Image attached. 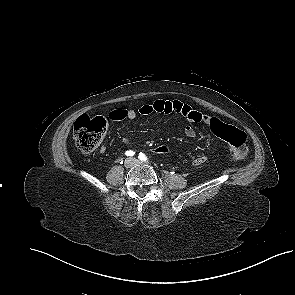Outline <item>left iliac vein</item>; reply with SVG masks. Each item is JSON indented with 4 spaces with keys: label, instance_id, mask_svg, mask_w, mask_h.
<instances>
[{
    "label": "left iliac vein",
    "instance_id": "obj_1",
    "mask_svg": "<svg viewBox=\"0 0 295 295\" xmlns=\"http://www.w3.org/2000/svg\"><path fill=\"white\" fill-rule=\"evenodd\" d=\"M133 160V162H134V164H140V161L138 160V159H132Z\"/></svg>",
    "mask_w": 295,
    "mask_h": 295
}]
</instances>
